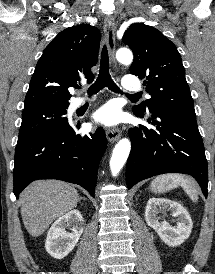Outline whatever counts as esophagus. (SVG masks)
<instances>
[{"label": "esophagus", "instance_id": "1", "mask_svg": "<svg viewBox=\"0 0 215 274\" xmlns=\"http://www.w3.org/2000/svg\"><path fill=\"white\" fill-rule=\"evenodd\" d=\"M104 32L107 40V45L109 49V53L111 55V60L113 67H115V59H114V52H115V20L113 16L108 15L105 17L104 20ZM107 139L110 142H115L121 137V131L116 128L107 129L106 130Z\"/></svg>", "mask_w": 215, "mask_h": 274}]
</instances>
